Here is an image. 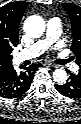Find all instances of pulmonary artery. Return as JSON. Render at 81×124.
<instances>
[{"mask_svg":"<svg viewBox=\"0 0 81 124\" xmlns=\"http://www.w3.org/2000/svg\"><path fill=\"white\" fill-rule=\"evenodd\" d=\"M62 32L61 20L57 17H52L47 21V29L45 36L32 44L27 49L18 52L15 56L17 61H24L28 59H33L42 53H44L55 41H57ZM73 71L77 69V65L74 63L70 64Z\"/></svg>","mask_w":81,"mask_h":124,"instance_id":"e3ab8cb5","label":"pulmonary artery"}]
</instances>
